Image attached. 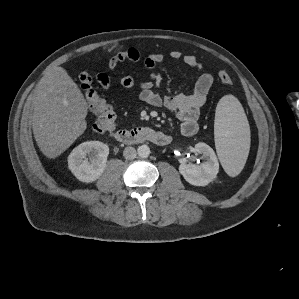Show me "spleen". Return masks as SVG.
Returning a JSON list of instances; mask_svg holds the SVG:
<instances>
[{
    "instance_id": "spleen-1",
    "label": "spleen",
    "mask_w": 299,
    "mask_h": 299,
    "mask_svg": "<svg viewBox=\"0 0 299 299\" xmlns=\"http://www.w3.org/2000/svg\"><path fill=\"white\" fill-rule=\"evenodd\" d=\"M214 135L224 170L229 176H237L248 157L250 129L244 109L233 95L223 96L217 104Z\"/></svg>"
}]
</instances>
